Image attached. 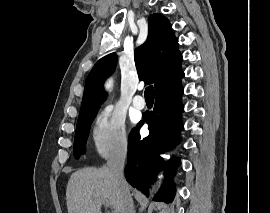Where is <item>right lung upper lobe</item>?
<instances>
[{
    "instance_id": "1",
    "label": "right lung upper lobe",
    "mask_w": 270,
    "mask_h": 213,
    "mask_svg": "<svg viewBox=\"0 0 270 213\" xmlns=\"http://www.w3.org/2000/svg\"><path fill=\"white\" fill-rule=\"evenodd\" d=\"M148 30L147 40L136 48L134 58L139 79L154 83L156 90L182 71V55L170 22L163 15H150ZM116 63L117 55L110 53L92 68L86 80L78 120L97 113L106 97L103 82L114 71Z\"/></svg>"
}]
</instances>
